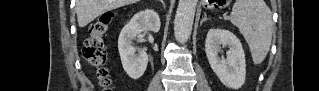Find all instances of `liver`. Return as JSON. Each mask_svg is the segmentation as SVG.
<instances>
[{
	"label": "liver",
	"mask_w": 319,
	"mask_h": 91,
	"mask_svg": "<svg viewBox=\"0 0 319 91\" xmlns=\"http://www.w3.org/2000/svg\"><path fill=\"white\" fill-rule=\"evenodd\" d=\"M136 1L137 0H77L75 10L78 24L80 27H85L104 12L135 3Z\"/></svg>",
	"instance_id": "liver-1"
}]
</instances>
